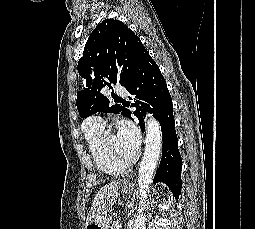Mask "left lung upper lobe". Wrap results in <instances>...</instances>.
<instances>
[{
    "mask_svg": "<svg viewBox=\"0 0 255 229\" xmlns=\"http://www.w3.org/2000/svg\"><path fill=\"white\" fill-rule=\"evenodd\" d=\"M145 51L139 37L121 21L106 19L92 31L77 66L85 85L76 101L82 118L99 111L125 115V108L111 106L101 90L112 88L110 83L125 86Z\"/></svg>",
    "mask_w": 255,
    "mask_h": 229,
    "instance_id": "1",
    "label": "left lung upper lobe"
}]
</instances>
